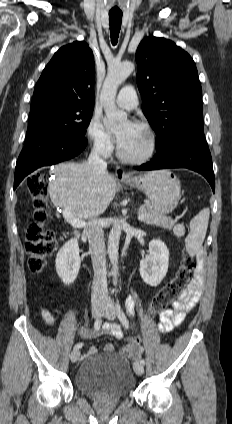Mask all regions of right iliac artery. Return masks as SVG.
Segmentation results:
<instances>
[{
	"label": "right iliac artery",
	"mask_w": 232,
	"mask_h": 424,
	"mask_svg": "<svg viewBox=\"0 0 232 424\" xmlns=\"http://www.w3.org/2000/svg\"><path fill=\"white\" fill-rule=\"evenodd\" d=\"M101 325H102V318H101V316L99 317V318H97L96 319V321H95V323H94V329L95 330H99L100 329V327H101ZM82 343H77L75 346H74V349H79V348H81L82 347Z\"/></svg>",
	"instance_id": "right-iliac-artery-1"
}]
</instances>
